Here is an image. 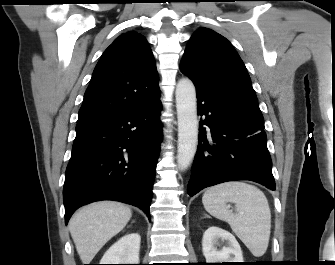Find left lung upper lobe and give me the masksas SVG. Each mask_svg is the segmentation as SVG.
<instances>
[{
	"label": "left lung upper lobe",
	"instance_id": "5c2ea615",
	"mask_svg": "<svg viewBox=\"0 0 335 265\" xmlns=\"http://www.w3.org/2000/svg\"><path fill=\"white\" fill-rule=\"evenodd\" d=\"M180 68L196 90L263 118L247 69L222 35L199 28L189 40Z\"/></svg>",
	"mask_w": 335,
	"mask_h": 265
}]
</instances>
